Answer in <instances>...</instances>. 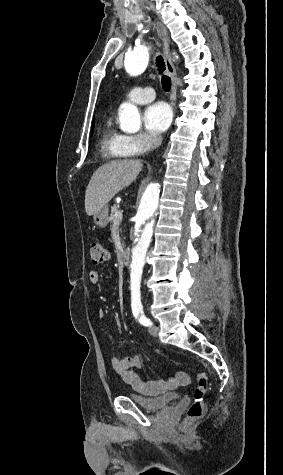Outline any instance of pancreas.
Masks as SVG:
<instances>
[{"instance_id":"1","label":"pancreas","mask_w":283,"mask_h":475,"mask_svg":"<svg viewBox=\"0 0 283 475\" xmlns=\"http://www.w3.org/2000/svg\"><path fill=\"white\" fill-rule=\"evenodd\" d=\"M116 212H119L118 206H113L112 216L110 218V222H116V220H122V216H121V218H118V216H115Z\"/></svg>"}]
</instances>
